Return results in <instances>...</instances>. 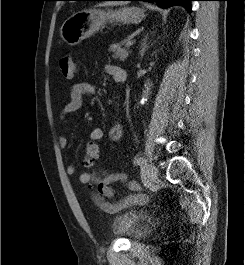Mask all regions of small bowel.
<instances>
[{
  "label": "small bowel",
  "instance_id": "1",
  "mask_svg": "<svg viewBox=\"0 0 245 265\" xmlns=\"http://www.w3.org/2000/svg\"><path fill=\"white\" fill-rule=\"evenodd\" d=\"M105 72L116 82H123L126 79V72L116 65H106ZM94 93L95 87L89 82L81 81L73 84L70 88V99L60 112V120L64 121L67 115L78 111L83 104L84 98L92 96ZM103 136V130L95 127L90 132L89 142L98 143ZM109 136L113 141H118L122 136V126L120 124L114 125ZM59 145L63 149L67 148L68 140L65 136L61 135L59 137ZM66 173L69 176H75L77 173L76 166L69 164L66 168ZM79 181L85 185L94 204L107 213H116L130 205H143L148 202V197L142 193L141 185L135 180H130L126 174L121 172L113 173L107 170H101L99 173L83 172L79 176ZM117 182L125 186L131 194L123 199H115V191L111 185ZM93 185H96V189L93 188ZM105 198L109 199V201L105 200Z\"/></svg>",
  "mask_w": 245,
  "mask_h": 265
}]
</instances>
